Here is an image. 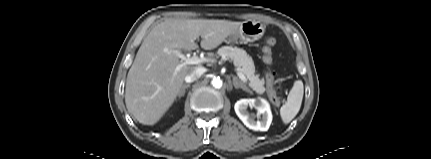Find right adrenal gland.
<instances>
[{
  "label": "right adrenal gland",
  "instance_id": "1",
  "mask_svg": "<svg viewBox=\"0 0 431 159\" xmlns=\"http://www.w3.org/2000/svg\"><path fill=\"white\" fill-rule=\"evenodd\" d=\"M189 87H190V84H184V85L182 86V89H181V91H180V93H179V95H178V96H179V98L185 94V90H186L187 88H189Z\"/></svg>",
  "mask_w": 431,
  "mask_h": 159
}]
</instances>
